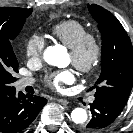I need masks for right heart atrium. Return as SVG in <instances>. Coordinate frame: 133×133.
Segmentation results:
<instances>
[{
    "mask_svg": "<svg viewBox=\"0 0 133 133\" xmlns=\"http://www.w3.org/2000/svg\"><path fill=\"white\" fill-rule=\"evenodd\" d=\"M44 47L45 39L42 35L35 33L27 38L24 46V52L29 60L39 62L42 59Z\"/></svg>",
    "mask_w": 133,
    "mask_h": 133,
    "instance_id": "obj_1",
    "label": "right heart atrium"
}]
</instances>
